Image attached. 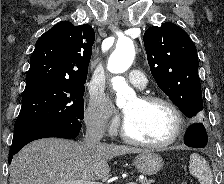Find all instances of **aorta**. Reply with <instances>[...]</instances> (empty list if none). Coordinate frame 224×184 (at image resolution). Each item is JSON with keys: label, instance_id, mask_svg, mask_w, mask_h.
Here are the masks:
<instances>
[{"label": "aorta", "instance_id": "obj_1", "mask_svg": "<svg viewBox=\"0 0 224 184\" xmlns=\"http://www.w3.org/2000/svg\"><path fill=\"white\" fill-rule=\"evenodd\" d=\"M135 57L134 43L129 38H122L116 44V49L109 57L107 69L114 74L127 71ZM112 87L116 91V103L118 106L125 104L126 100L134 97L135 92L128 86L122 76H115L111 80Z\"/></svg>", "mask_w": 224, "mask_h": 184}]
</instances>
